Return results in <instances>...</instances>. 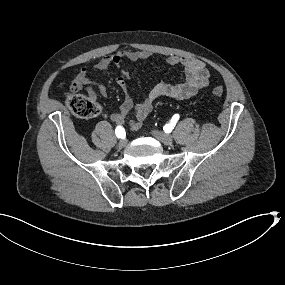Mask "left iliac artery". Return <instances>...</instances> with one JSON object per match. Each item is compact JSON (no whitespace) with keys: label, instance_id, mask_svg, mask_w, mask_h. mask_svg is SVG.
<instances>
[{"label":"left iliac artery","instance_id":"44dca946","mask_svg":"<svg viewBox=\"0 0 285 285\" xmlns=\"http://www.w3.org/2000/svg\"><path fill=\"white\" fill-rule=\"evenodd\" d=\"M179 120V115L178 114H175L172 119H171V123L170 125L171 126H175V124L177 123V121Z\"/></svg>","mask_w":285,"mask_h":285}]
</instances>
